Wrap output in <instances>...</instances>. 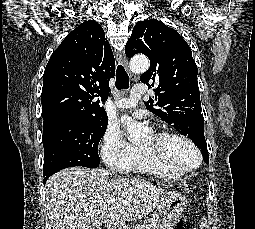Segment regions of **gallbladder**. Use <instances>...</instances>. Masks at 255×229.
Returning a JSON list of instances; mask_svg holds the SVG:
<instances>
[{
	"label": "gallbladder",
	"instance_id": "obj_1",
	"mask_svg": "<svg viewBox=\"0 0 255 229\" xmlns=\"http://www.w3.org/2000/svg\"><path fill=\"white\" fill-rule=\"evenodd\" d=\"M93 229H101V227L99 225L93 227Z\"/></svg>",
	"mask_w": 255,
	"mask_h": 229
}]
</instances>
